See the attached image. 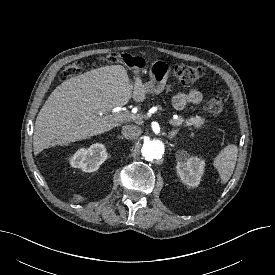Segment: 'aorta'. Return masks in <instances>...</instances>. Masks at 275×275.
Wrapping results in <instances>:
<instances>
[{
    "instance_id": "762f6f07",
    "label": "aorta",
    "mask_w": 275,
    "mask_h": 275,
    "mask_svg": "<svg viewBox=\"0 0 275 275\" xmlns=\"http://www.w3.org/2000/svg\"><path fill=\"white\" fill-rule=\"evenodd\" d=\"M142 155L147 161L160 159L165 151L164 143L159 139H151L144 142L142 146Z\"/></svg>"
}]
</instances>
